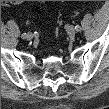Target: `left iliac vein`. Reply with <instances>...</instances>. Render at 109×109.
Returning <instances> with one entry per match:
<instances>
[{"label":"left iliac vein","instance_id":"left-iliac-vein-1","mask_svg":"<svg viewBox=\"0 0 109 109\" xmlns=\"http://www.w3.org/2000/svg\"><path fill=\"white\" fill-rule=\"evenodd\" d=\"M67 33H68V35H69L70 37H74L75 34H76V29H75V27H74V26L68 27Z\"/></svg>","mask_w":109,"mask_h":109}]
</instances>
